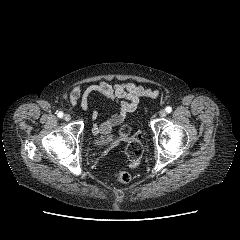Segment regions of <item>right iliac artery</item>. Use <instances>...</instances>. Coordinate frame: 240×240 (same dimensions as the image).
I'll list each match as a JSON object with an SVG mask.
<instances>
[{
  "mask_svg": "<svg viewBox=\"0 0 240 240\" xmlns=\"http://www.w3.org/2000/svg\"><path fill=\"white\" fill-rule=\"evenodd\" d=\"M63 112H61V111H59L58 113H57V116L59 117V118H62L63 117Z\"/></svg>",
  "mask_w": 240,
  "mask_h": 240,
  "instance_id": "1",
  "label": "right iliac artery"
}]
</instances>
